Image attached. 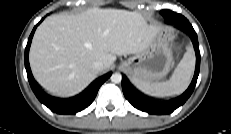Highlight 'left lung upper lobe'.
<instances>
[{
    "label": "left lung upper lobe",
    "instance_id": "5c2ea615",
    "mask_svg": "<svg viewBox=\"0 0 231 134\" xmlns=\"http://www.w3.org/2000/svg\"><path fill=\"white\" fill-rule=\"evenodd\" d=\"M160 13L164 16L166 22H168L169 16L172 15V11L169 10H162Z\"/></svg>",
    "mask_w": 231,
    "mask_h": 134
}]
</instances>
